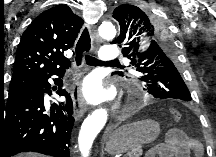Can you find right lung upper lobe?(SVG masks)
<instances>
[{"instance_id":"right-lung-upper-lobe-1","label":"right lung upper lobe","mask_w":216,"mask_h":157,"mask_svg":"<svg viewBox=\"0 0 216 157\" xmlns=\"http://www.w3.org/2000/svg\"><path fill=\"white\" fill-rule=\"evenodd\" d=\"M82 25L83 20L67 5L52 7L36 17L18 45L9 92L69 66L63 52L74 44Z\"/></svg>"}]
</instances>
